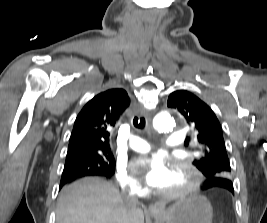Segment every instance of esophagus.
Masks as SVG:
<instances>
[{"instance_id": "34e87169", "label": "esophagus", "mask_w": 267, "mask_h": 223, "mask_svg": "<svg viewBox=\"0 0 267 223\" xmlns=\"http://www.w3.org/2000/svg\"><path fill=\"white\" fill-rule=\"evenodd\" d=\"M140 114L144 117L147 116V111H145L144 109L140 110ZM149 211L150 212H160L161 211V207L159 205H150L149 206Z\"/></svg>"}]
</instances>
